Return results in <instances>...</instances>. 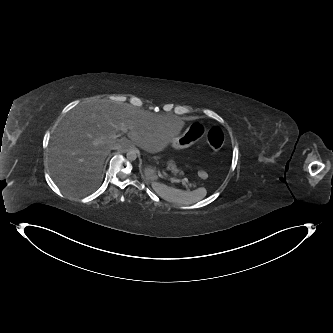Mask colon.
<instances>
[{"label":"colon","mask_w":333,"mask_h":333,"mask_svg":"<svg viewBox=\"0 0 333 333\" xmlns=\"http://www.w3.org/2000/svg\"><path fill=\"white\" fill-rule=\"evenodd\" d=\"M207 142L213 151H219L224 143L223 131L217 126L211 127L207 133ZM206 175L207 174L204 170H200L198 172V176L200 178H205Z\"/></svg>","instance_id":"obj_1"}]
</instances>
